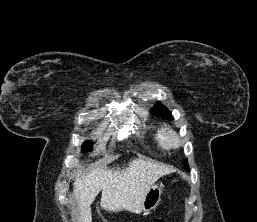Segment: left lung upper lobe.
Masks as SVG:
<instances>
[{"label":"left lung upper lobe","instance_id":"obj_1","mask_svg":"<svg viewBox=\"0 0 257 222\" xmlns=\"http://www.w3.org/2000/svg\"><path fill=\"white\" fill-rule=\"evenodd\" d=\"M151 113L158 117L173 119L170 111H168L167 108L159 102L156 103L154 107L151 109ZM184 166L189 171V165H188L187 159H185L184 161Z\"/></svg>","mask_w":257,"mask_h":222}]
</instances>
